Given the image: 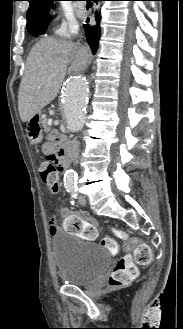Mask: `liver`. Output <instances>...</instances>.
<instances>
[{
  "label": "liver",
  "mask_w": 183,
  "mask_h": 329,
  "mask_svg": "<svg viewBox=\"0 0 183 329\" xmlns=\"http://www.w3.org/2000/svg\"><path fill=\"white\" fill-rule=\"evenodd\" d=\"M79 48L78 44L52 37L35 44L19 87L18 110L22 122L30 121L57 96L69 64V73L83 70L77 61Z\"/></svg>",
  "instance_id": "1"
}]
</instances>
